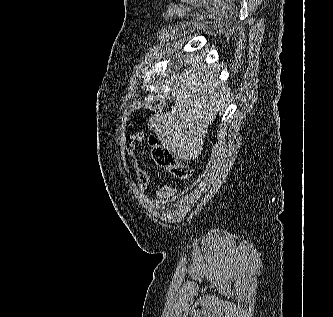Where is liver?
I'll list each match as a JSON object with an SVG mask.
<instances>
[{
    "mask_svg": "<svg viewBox=\"0 0 333 317\" xmlns=\"http://www.w3.org/2000/svg\"><path fill=\"white\" fill-rule=\"evenodd\" d=\"M172 93V111L151 116L148 126L167 150L181 159H197L208 126L226 106L228 91L217 72L200 64L172 84Z\"/></svg>",
    "mask_w": 333,
    "mask_h": 317,
    "instance_id": "6515ba94",
    "label": "liver"
}]
</instances>
